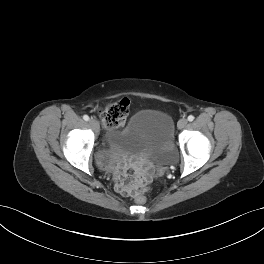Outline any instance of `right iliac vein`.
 Here are the masks:
<instances>
[{
	"instance_id": "63e3f726",
	"label": "right iliac vein",
	"mask_w": 264,
	"mask_h": 264,
	"mask_svg": "<svg viewBox=\"0 0 264 264\" xmlns=\"http://www.w3.org/2000/svg\"><path fill=\"white\" fill-rule=\"evenodd\" d=\"M89 124L91 125V127H92L96 132H98V130H99V124H98V122H97L96 120H94V119H90Z\"/></svg>"
}]
</instances>
